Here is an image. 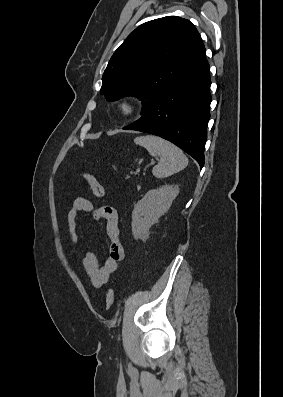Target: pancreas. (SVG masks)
Instances as JSON below:
<instances>
[{
	"mask_svg": "<svg viewBox=\"0 0 283 397\" xmlns=\"http://www.w3.org/2000/svg\"><path fill=\"white\" fill-rule=\"evenodd\" d=\"M140 188H141L140 185H138V186H137V190H140Z\"/></svg>",
	"mask_w": 283,
	"mask_h": 397,
	"instance_id": "pancreas-1",
	"label": "pancreas"
}]
</instances>
